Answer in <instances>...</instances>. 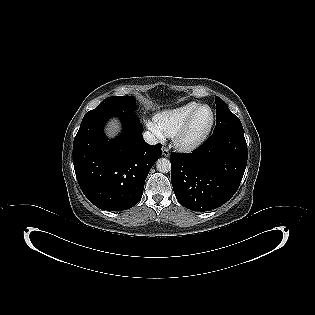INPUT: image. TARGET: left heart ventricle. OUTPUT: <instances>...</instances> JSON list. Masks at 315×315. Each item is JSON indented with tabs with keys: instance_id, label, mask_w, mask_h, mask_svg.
<instances>
[{
	"instance_id": "obj_1",
	"label": "left heart ventricle",
	"mask_w": 315,
	"mask_h": 315,
	"mask_svg": "<svg viewBox=\"0 0 315 315\" xmlns=\"http://www.w3.org/2000/svg\"><path fill=\"white\" fill-rule=\"evenodd\" d=\"M211 120V112L208 108H202L195 116L186 136L187 140L199 137L208 127Z\"/></svg>"
}]
</instances>
